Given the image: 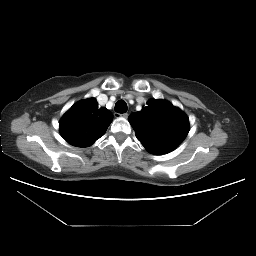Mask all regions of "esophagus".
<instances>
[{
	"instance_id": "34e87169",
	"label": "esophagus",
	"mask_w": 256,
	"mask_h": 256,
	"mask_svg": "<svg viewBox=\"0 0 256 256\" xmlns=\"http://www.w3.org/2000/svg\"><path fill=\"white\" fill-rule=\"evenodd\" d=\"M115 116L127 118L129 116V114L128 113H123V114L116 113Z\"/></svg>"
}]
</instances>
